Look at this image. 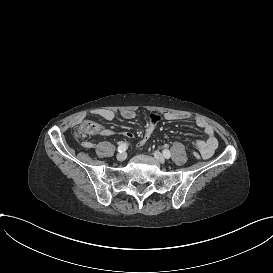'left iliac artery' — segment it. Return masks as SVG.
<instances>
[{"label": "left iliac artery", "mask_w": 273, "mask_h": 273, "mask_svg": "<svg viewBox=\"0 0 273 273\" xmlns=\"http://www.w3.org/2000/svg\"><path fill=\"white\" fill-rule=\"evenodd\" d=\"M163 156L165 157V158H170V156H171V153H170V151L169 150H164L163 151Z\"/></svg>", "instance_id": "left-iliac-artery-1"}]
</instances>
